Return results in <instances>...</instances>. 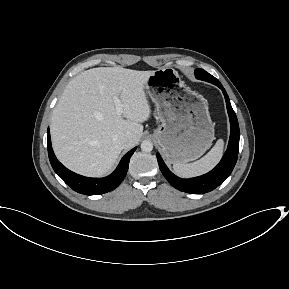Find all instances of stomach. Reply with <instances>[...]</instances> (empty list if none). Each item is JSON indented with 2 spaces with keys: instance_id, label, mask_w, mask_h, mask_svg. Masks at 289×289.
<instances>
[{
  "instance_id": "0dacf381",
  "label": "stomach",
  "mask_w": 289,
  "mask_h": 289,
  "mask_svg": "<svg viewBox=\"0 0 289 289\" xmlns=\"http://www.w3.org/2000/svg\"><path fill=\"white\" fill-rule=\"evenodd\" d=\"M145 89L161 121L154 137L166 160L176 164L201 157L214 140L207 102L170 67L154 71Z\"/></svg>"
}]
</instances>
